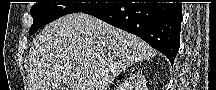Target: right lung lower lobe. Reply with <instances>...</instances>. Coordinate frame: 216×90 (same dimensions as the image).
<instances>
[{"instance_id": "98d812e1", "label": "right lung lower lobe", "mask_w": 216, "mask_h": 90, "mask_svg": "<svg viewBox=\"0 0 216 90\" xmlns=\"http://www.w3.org/2000/svg\"><path fill=\"white\" fill-rule=\"evenodd\" d=\"M86 14L139 36L173 64L180 46L182 3H108Z\"/></svg>"}]
</instances>
